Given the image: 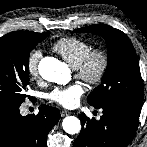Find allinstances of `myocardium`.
Listing matches in <instances>:
<instances>
[{"mask_svg": "<svg viewBox=\"0 0 147 147\" xmlns=\"http://www.w3.org/2000/svg\"><path fill=\"white\" fill-rule=\"evenodd\" d=\"M109 68L108 52L101 47L92 48L74 68L76 77L90 85L100 84Z\"/></svg>", "mask_w": 147, "mask_h": 147, "instance_id": "obj_1", "label": "myocardium"}]
</instances>
